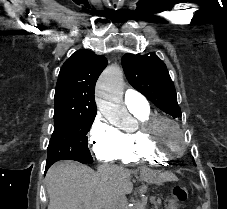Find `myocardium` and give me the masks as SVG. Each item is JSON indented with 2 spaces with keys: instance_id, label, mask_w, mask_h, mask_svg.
Here are the masks:
<instances>
[{
  "instance_id": "f54148a6",
  "label": "myocardium",
  "mask_w": 227,
  "mask_h": 209,
  "mask_svg": "<svg viewBox=\"0 0 227 209\" xmlns=\"http://www.w3.org/2000/svg\"><path fill=\"white\" fill-rule=\"evenodd\" d=\"M162 122H168L175 127V129L182 135L184 138V146L181 150H169L165 151L162 146L155 139V131L158 125ZM139 136L143 143L154 153L161 155L162 157L169 159L177 156L183 155L189 146V139L187 133L182 128L180 123L169 116L161 115V114H152L147 119L140 122V126L138 129Z\"/></svg>"
}]
</instances>
